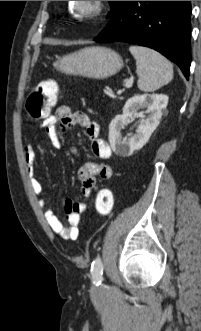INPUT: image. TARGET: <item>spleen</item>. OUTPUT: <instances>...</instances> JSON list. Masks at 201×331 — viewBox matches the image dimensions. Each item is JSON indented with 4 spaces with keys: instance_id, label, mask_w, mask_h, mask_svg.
I'll return each instance as SVG.
<instances>
[{
    "instance_id": "obj_1",
    "label": "spleen",
    "mask_w": 201,
    "mask_h": 331,
    "mask_svg": "<svg viewBox=\"0 0 201 331\" xmlns=\"http://www.w3.org/2000/svg\"><path fill=\"white\" fill-rule=\"evenodd\" d=\"M129 51L136 60L137 85L141 91H155L173 79L172 64L159 52L138 45H131Z\"/></svg>"
}]
</instances>
